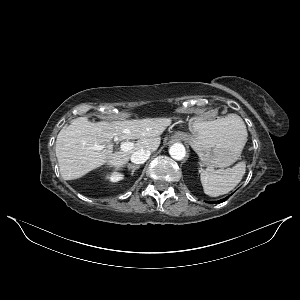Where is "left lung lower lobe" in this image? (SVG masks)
I'll list each match as a JSON object with an SVG mask.
<instances>
[{"label":"left lung lower lobe","mask_w":300,"mask_h":300,"mask_svg":"<svg viewBox=\"0 0 300 300\" xmlns=\"http://www.w3.org/2000/svg\"><path fill=\"white\" fill-rule=\"evenodd\" d=\"M227 198H228V197H226V198L220 200L219 203H222V202L225 201ZM215 202H216V201H211V202H209V203H215Z\"/></svg>","instance_id":"1"}]
</instances>
